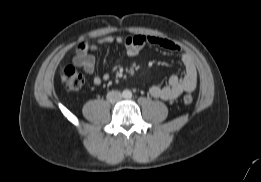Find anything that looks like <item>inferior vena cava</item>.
<instances>
[{"mask_svg":"<svg viewBox=\"0 0 261 182\" xmlns=\"http://www.w3.org/2000/svg\"><path fill=\"white\" fill-rule=\"evenodd\" d=\"M122 99V94L119 91H110L107 94V100L111 103H116Z\"/></svg>","mask_w":261,"mask_h":182,"instance_id":"inferior-vena-cava-1","label":"inferior vena cava"}]
</instances>
